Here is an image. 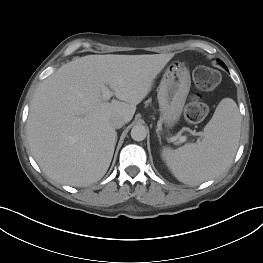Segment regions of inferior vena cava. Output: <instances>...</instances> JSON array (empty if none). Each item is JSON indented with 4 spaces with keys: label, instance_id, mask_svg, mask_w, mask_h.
Instances as JSON below:
<instances>
[{
    "label": "inferior vena cava",
    "instance_id": "inferior-vena-cava-1",
    "mask_svg": "<svg viewBox=\"0 0 263 263\" xmlns=\"http://www.w3.org/2000/svg\"><path fill=\"white\" fill-rule=\"evenodd\" d=\"M125 124V121L122 117L117 116L112 118L111 120V125L115 128V129H119L121 128L123 125Z\"/></svg>",
    "mask_w": 263,
    "mask_h": 263
}]
</instances>
